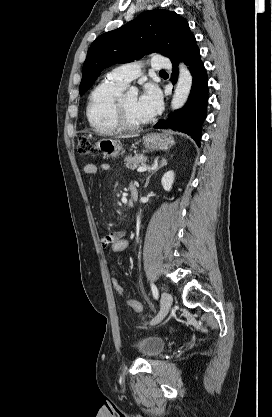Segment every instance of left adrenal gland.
<instances>
[{
	"label": "left adrenal gland",
	"mask_w": 272,
	"mask_h": 417,
	"mask_svg": "<svg viewBox=\"0 0 272 417\" xmlns=\"http://www.w3.org/2000/svg\"><path fill=\"white\" fill-rule=\"evenodd\" d=\"M167 165V160L165 159V158H162V160H161V162H160V165L159 166H157V167H155L154 168V170L151 172V174L147 177V179H146V183H145V188H147V186H148V184H149V181H150V178H151V176L154 174V173H156L159 169H161L162 167H164V166H166Z\"/></svg>",
	"instance_id": "obj_1"
}]
</instances>
